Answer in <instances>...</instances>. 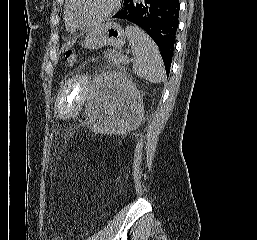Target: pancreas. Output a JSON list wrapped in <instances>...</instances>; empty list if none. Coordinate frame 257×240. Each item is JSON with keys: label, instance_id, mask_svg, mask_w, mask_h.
Segmentation results:
<instances>
[{"label": "pancreas", "instance_id": "1", "mask_svg": "<svg viewBox=\"0 0 257 240\" xmlns=\"http://www.w3.org/2000/svg\"><path fill=\"white\" fill-rule=\"evenodd\" d=\"M121 56L122 55L115 50H108L107 52H105V57L107 58L111 66H120V64L122 63V61L120 60Z\"/></svg>", "mask_w": 257, "mask_h": 240}]
</instances>
